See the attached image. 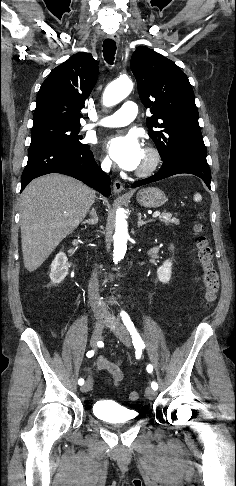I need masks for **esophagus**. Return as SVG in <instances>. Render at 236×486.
Segmentation results:
<instances>
[{
    "mask_svg": "<svg viewBox=\"0 0 236 486\" xmlns=\"http://www.w3.org/2000/svg\"><path fill=\"white\" fill-rule=\"evenodd\" d=\"M110 38L112 40H114L116 43H119L120 42V37L118 34H112L110 36ZM113 190L115 193H121L122 190H123V184L119 181V180H115L114 183H113Z\"/></svg>",
    "mask_w": 236,
    "mask_h": 486,
    "instance_id": "esophagus-1",
    "label": "esophagus"
}]
</instances>
